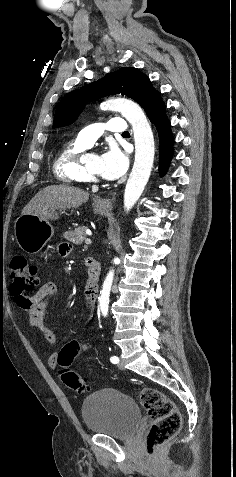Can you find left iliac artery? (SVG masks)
<instances>
[{"mask_svg": "<svg viewBox=\"0 0 236 477\" xmlns=\"http://www.w3.org/2000/svg\"><path fill=\"white\" fill-rule=\"evenodd\" d=\"M110 361L113 363V364H117L119 362V358L117 356H112L110 358Z\"/></svg>", "mask_w": 236, "mask_h": 477, "instance_id": "1", "label": "left iliac artery"}]
</instances>
